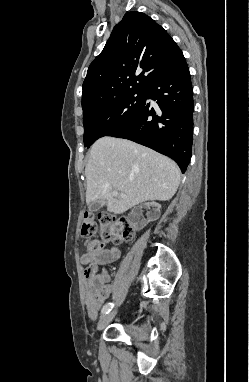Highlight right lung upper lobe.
<instances>
[{
  "instance_id": "obj_1",
  "label": "right lung upper lobe",
  "mask_w": 249,
  "mask_h": 382,
  "mask_svg": "<svg viewBox=\"0 0 249 382\" xmlns=\"http://www.w3.org/2000/svg\"><path fill=\"white\" fill-rule=\"evenodd\" d=\"M183 59L174 40L152 18L128 12L88 68L82 108L132 90H144L154 78Z\"/></svg>"
}]
</instances>
